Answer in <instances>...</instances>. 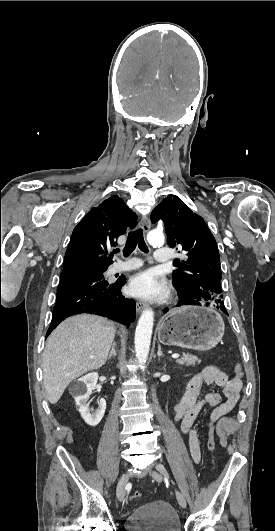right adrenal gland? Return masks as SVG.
<instances>
[{
  "instance_id": "2a0ac1e0",
  "label": "right adrenal gland",
  "mask_w": 275,
  "mask_h": 531,
  "mask_svg": "<svg viewBox=\"0 0 275 531\" xmlns=\"http://www.w3.org/2000/svg\"><path fill=\"white\" fill-rule=\"evenodd\" d=\"M116 343H112L111 351L109 353L108 361H110L111 357H116Z\"/></svg>"
}]
</instances>
